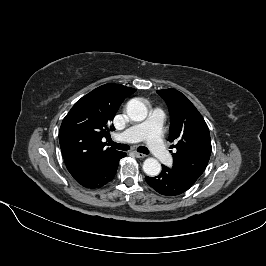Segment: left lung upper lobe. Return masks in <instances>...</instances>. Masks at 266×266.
<instances>
[{"label":"left lung upper lobe","instance_id":"obj_1","mask_svg":"<svg viewBox=\"0 0 266 266\" xmlns=\"http://www.w3.org/2000/svg\"><path fill=\"white\" fill-rule=\"evenodd\" d=\"M166 101L171 116L170 142L176 148L172 153L171 176L191 187L206 169L211 155L208 126L196 107L176 89L157 90ZM172 152V151H171Z\"/></svg>","mask_w":266,"mask_h":266}]
</instances>
